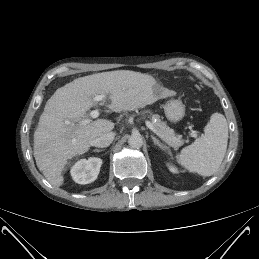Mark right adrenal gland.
Instances as JSON below:
<instances>
[{"label":"right adrenal gland","instance_id":"right-adrenal-gland-1","mask_svg":"<svg viewBox=\"0 0 259 259\" xmlns=\"http://www.w3.org/2000/svg\"><path fill=\"white\" fill-rule=\"evenodd\" d=\"M103 150H101V149H95V150H93V152H102Z\"/></svg>","mask_w":259,"mask_h":259}]
</instances>
